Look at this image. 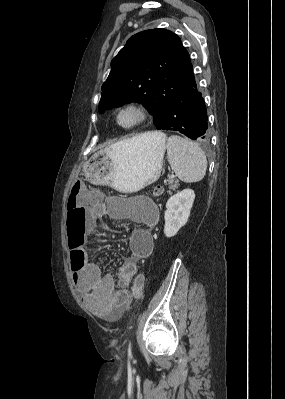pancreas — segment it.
Wrapping results in <instances>:
<instances>
[{
  "instance_id": "pancreas-1",
  "label": "pancreas",
  "mask_w": 285,
  "mask_h": 399,
  "mask_svg": "<svg viewBox=\"0 0 285 399\" xmlns=\"http://www.w3.org/2000/svg\"><path fill=\"white\" fill-rule=\"evenodd\" d=\"M165 185H166V186L168 185L169 189L177 188V187H178V180H175V179H173V178H168V179L165 181ZM168 192H170V190H169Z\"/></svg>"
}]
</instances>
